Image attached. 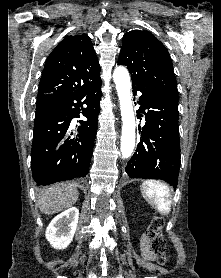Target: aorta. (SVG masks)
<instances>
[{
    "instance_id": "obj_1",
    "label": "aorta",
    "mask_w": 221,
    "mask_h": 278,
    "mask_svg": "<svg viewBox=\"0 0 221 278\" xmlns=\"http://www.w3.org/2000/svg\"><path fill=\"white\" fill-rule=\"evenodd\" d=\"M113 79L116 84L123 122L120 149L122 157L127 159L131 156L135 147V117L128 70L123 66L116 67Z\"/></svg>"
}]
</instances>
